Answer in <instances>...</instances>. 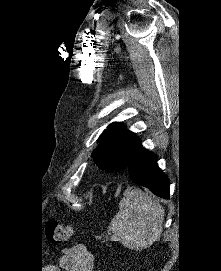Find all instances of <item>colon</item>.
<instances>
[{
    "label": "colon",
    "mask_w": 221,
    "mask_h": 271,
    "mask_svg": "<svg viewBox=\"0 0 221 271\" xmlns=\"http://www.w3.org/2000/svg\"><path fill=\"white\" fill-rule=\"evenodd\" d=\"M48 228L51 238L55 243H65L71 235V228L64 222L52 219L48 222Z\"/></svg>",
    "instance_id": "1"
}]
</instances>
